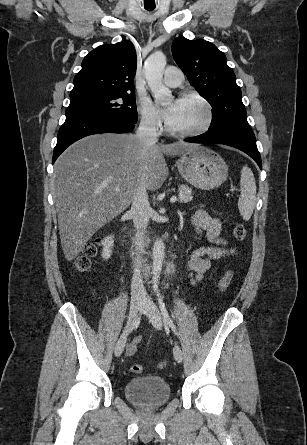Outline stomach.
Here are the masks:
<instances>
[{"label": "stomach", "mask_w": 307, "mask_h": 445, "mask_svg": "<svg viewBox=\"0 0 307 445\" xmlns=\"http://www.w3.org/2000/svg\"><path fill=\"white\" fill-rule=\"evenodd\" d=\"M183 178L203 190L220 186L228 176V166L222 156L207 146H194L186 150L177 162Z\"/></svg>", "instance_id": "0dacf381"}]
</instances>
